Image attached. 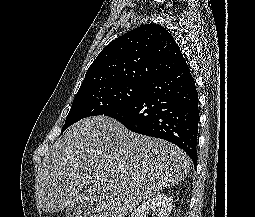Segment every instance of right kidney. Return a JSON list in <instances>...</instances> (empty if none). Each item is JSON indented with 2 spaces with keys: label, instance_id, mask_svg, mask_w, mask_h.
Instances as JSON below:
<instances>
[{
  "label": "right kidney",
  "instance_id": "1",
  "mask_svg": "<svg viewBox=\"0 0 255 217\" xmlns=\"http://www.w3.org/2000/svg\"><path fill=\"white\" fill-rule=\"evenodd\" d=\"M172 207V196L165 193H158L134 210L131 213V217H146L151 210L157 213V217H169Z\"/></svg>",
  "mask_w": 255,
  "mask_h": 217
}]
</instances>
